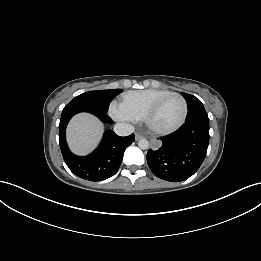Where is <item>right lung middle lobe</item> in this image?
Returning a JSON list of instances; mask_svg holds the SVG:
<instances>
[{"mask_svg": "<svg viewBox=\"0 0 261 261\" xmlns=\"http://www.w3.org/2000/svg\"><path fill=\"white\" fill-rule=\"evenodd\" d=\"M121 91V89H110L86 92L76 96L63 110L78 109L90 113L105 114L112 99Z\"/></svg>", "mask_w": 261, "mask_h": 261, "instance_id": "obj_1", "label": "right lung middle lobe"}]
</instances>
